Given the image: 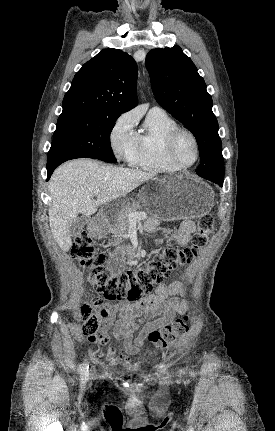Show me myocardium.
I'll return each mask as SVG.
<instances>
[{"instance_id": "1", "label": "myocardium", "mask_w": 275, "mask_h": 431, "mask_svg": "<svg viewBox=\"0 0 275 431\" xmlns=\"http://www.w3.org/2000/svg\"><path fill=\"white\" fill-rule=\"evenodd\" d=\"M181 135H187L191 138L194 148H195V158L192 163L190 164H182L175 155V146L178 138ZM165 153L167 159L177 168L179 169H188L192 166H194L199 158H200V146L199 141L196 137V135L188 128L185 127H177L174 129L167 137L166 144H165Z\"/></svg>"}]
</instances>
